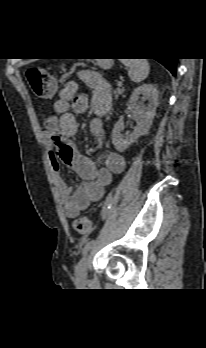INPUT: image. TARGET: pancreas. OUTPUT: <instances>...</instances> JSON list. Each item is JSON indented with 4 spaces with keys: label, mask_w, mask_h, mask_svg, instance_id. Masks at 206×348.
Segmentation results:
<instances>
[{
    "label": "pancreas",
    "mask_w": 206,
    "mask_h": 348,
    "mask_svg": "<svg viewBox=\"0 0 206 348\" xmlns=\"http://www.w3.org/2000/svg\"><path fill=\"white\" fill-rule=\"evenodd\" d=\"M124 91H125L124 87L118 86V88L114 90L115 99H117L120 95H122Z\"/></svg>",
    "instance_id": "pancreas-1"
}]
</instances>
